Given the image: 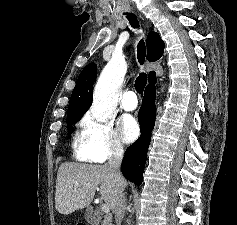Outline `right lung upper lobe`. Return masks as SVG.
Segmentation results:
<instances>
[{"instance_id":"obj_1","label":"right lung upper lobe","mask_w":237,"mask_h":225,"mask_svg":"<svg viewBox=\"0 0 237 225\" xmlns=\"http://www.w3.org/2000/svg\"><path fill=\"white\" fill-rule=\"evenodd\" d=\"M147 60L150 62L157 61L161 58L164 51V42L156 32H150L147 36ZM97 75V65L94 63L88 64L80 73L73 89L68 113L82 111L86 112L91 104L93 95V84ZM149 82H156L155 72L149 73Z\"/></svg>"}]
</instances>
